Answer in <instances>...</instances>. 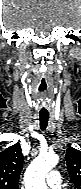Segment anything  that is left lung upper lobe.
<instances>
[{
	"instance_id": "1",
	"label": "left lung upper lobe",
	"mask_w": 81,
	"mask_h": 189,
	"mask_svg": "<svg viewBox=\"0 0 81 189\" xmlns=\"http://www.w3.org/2000/svg\"><path fill=\"white\" fill-rule=\"evenodd\" d=\"M65 158L71 181L77 189H81V151L69 147Z\"/></svg>"
}]
</instances>
